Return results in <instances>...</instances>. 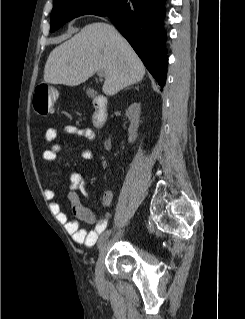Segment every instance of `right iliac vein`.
<instances>
[{
    "instance_id": "right-iliac-vein-1",
    "label": "right iliac vein",
    "mask_w": 245,
    "mask_h": 319,
    "mask_svg": "<svg viewBox=\"0 0 245 319\" xmlns=\"http://www.w3.org/2000/svg\"><path fill=\"white\" fill-rule=\"evenodd\" d=\"M123 232L124 231H119L115 235V239L121 237ZM109 236L110 235L106 231L100 236L98 241V246H100V254L95 267V280L98 285H102L104 282V259L107 254V240Z\"/></svg>"
}]
</instances>
